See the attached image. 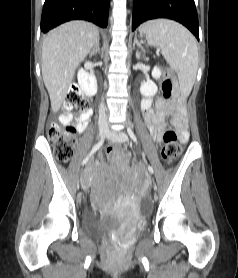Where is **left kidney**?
<instances>
[{
	"mask_svg": "<svg viewBox=\"0 0 238 278\" xmlns=\"http://www.w3.org/2000/svg\"><path fill=\"white\" fill-rule=\"evenodd\" d=\"M136 57L138 59L140 58L139 53H136ZM152 76L154 79H159L161 76V69L159 67L155 66L152 71ZM157 91H158V88H157L156 84L151 80H147L146 82L142 83V85L140 87V93L146 97L154 96L157 93Z\"/></svg>",
	"mask_w": 238,
	"mask_h": 278,
	"instance_id": "left-kidney-1",
	"label": "left kidney"
}]
</instances>
